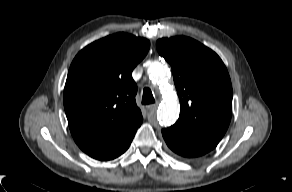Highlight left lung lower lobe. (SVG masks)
I'll return each mask as SVG.
<instances>
[{"label": "left lung lower lobe", "mask_w": 292, "mask_h": 192, "mask_svg": "<svg viewBox=\"0 0 292 192\" xmlns=\"http://www.w3.org/2000/svg\"><path fill=\"white\" fill-rule=\"evenodd\" d=\"M163 138L168 147L183 157H198L214 149L218 142L192 137L171 128L162 130Z\"/></svg>", "instance_id": "obj_1"}]
</instances>
